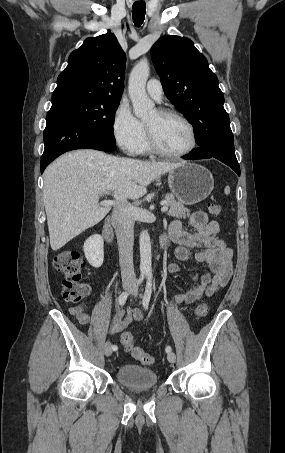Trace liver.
I'll list each match as a JSON object with an SVG mask.
<instances>
[{
  "mask_svg": "<svg viewBox=\"0 0 285 453\" xmlns=\"http://www.w3.org/2000/svg\"><path fill=\"white\" fill-rule=\"evenodd\" d=\"M178 164L116 157L89 149L60 156L43 175L52 250H59L107 215L111 205L99 204L103 193L114 191V205L136 200L146 194L148 184Z\"/></svg>",
  "mask_w": 285,
  "mask_h": 453,
  "instance_id": "1",
  "label": "liver"
}]
</instances>
